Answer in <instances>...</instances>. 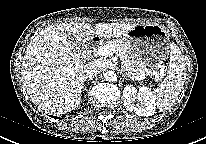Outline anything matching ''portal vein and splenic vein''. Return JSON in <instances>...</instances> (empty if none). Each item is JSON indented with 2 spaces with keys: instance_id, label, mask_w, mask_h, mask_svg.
<instances>
[{
  "instance_id": "obj_1",
  "label": "portal vein and splenic vein",
  "mask_w": 206,
  "mask_h": 144,
  "mask_svg": "<svg viewBox=\"0 0 206 144\" xmlns=\"http://www.w3.org/2000/svg\"><path fill=\"white\" fill-rule=\"evenodd\" d=\"M120 48H118L117 46L113 45V44H108V45H104L101 46L98 50V55L103 56V57H108L111 56L112 54L116 53L118 55H120ZM149 74H152L155 77V81H159V73L153 71V72H149ZM143 77L139 76L138 80H142Z\"/></svg>"
}]
</instances>
